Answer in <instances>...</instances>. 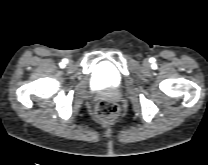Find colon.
<instances>
[{
  "instance_id": "5ec220e1",
  "label": "colon",
  "mask_w": 208,
  "mask_h": 165,
  "mask_svg": "<svg viewBox=\"0 0 208 165\" xmlns=\"http://www.w3.org/2000/svg\"><path fill=\"white\" fill-rule=\"evenodd\" d=\"M95 116L102 122L114 120L119 113L118 105L110 99H102L98 101L94 108Z\"/></svg>"
}]
</instances>
